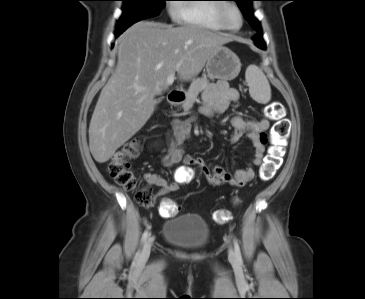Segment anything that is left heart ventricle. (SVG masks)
Listing matches in <instances>:
<instances>
[{"mask_svg":"<svg viewBox=\"0 0 365 299\" xmlns=\"http://www.w3.org/2000/svg\"><path fill=\"white\" fill-rule=\"evenodd\" d=\"M225 22L228 26L237 27L240 23L239 15L233 8H229L226 12Z\"/></svg>","mask_w":365,"mask_h":299,"instance_id":"b2bd125f","label":"left heart ventricle"}]
</instances>
